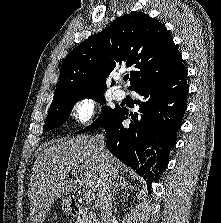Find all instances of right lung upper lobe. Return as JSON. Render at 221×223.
Masks as SVG:
<instances>
[{
	"instance_id": "1",
	"label": "right lung upper lobe",
	"mask_w": 221,
	"mask_h": 223,
	"mask_svg": "<svg viewBox=\"0 0 221 223\" xmlns=\"http://www.w3.org/2000/svg\"><path fill=\"white\" fill-rule=\"evenodd\" d=\"M121 65L136 68L131 71L130 89L169 77L184 67L166 27L148 14L131 12L70 52L61 65L53 101L103 92L105 78Z\"/></svg>"
}]
</instances>
